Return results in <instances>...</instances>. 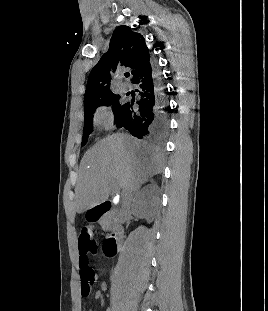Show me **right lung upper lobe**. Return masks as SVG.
Here are the masks:
<instances>
[{
  "instance_id": "right-lung-upper-lobe-1",
  "label": "right lung upper lobe",
  "mask_w": 268,
  "mask_h": 311,
  "mask_svg": "<svg viewBox=\"0 0 268 311\" xmlns=\"http://www.w3.org/2000/svg\"><path fill=\"white\" fill-rule=\"evenodd\" d=\"M149 49L145 39L128 26L117 27L110 40L109 50L93 67L86 86L84 112L112 95L111 74L118 66L131 68L136 78L150 64Z\"/></svg>"
}]
</instances>
